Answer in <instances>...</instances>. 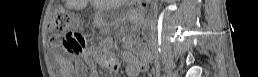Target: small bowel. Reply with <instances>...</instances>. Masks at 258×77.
<instances>
[{"label": "small bowel", "instance_id": "small-bowel-1", "mask_svg": "<svg viewBox=\"0 0 258 77\" xmlns=\"http://www.w3.org/2000/svg\"><path fill=\"white\" fill-rule=\"evenodd\" d=\"M98 54V53H97ZM104 57V62L106 66L112 71H119L120 64L116 56L112 52H99ZM123 59L126 63V70L129 74L137 75L141 71H144L148 68V65L153 60V54L150 52L142 53L139 55H134L132 53H125ZM66 65V61H64ZM64 73L67 72V68H64Z\"/></svg>", "mask_w": 258, "mask_h": 77}]
</instances>
